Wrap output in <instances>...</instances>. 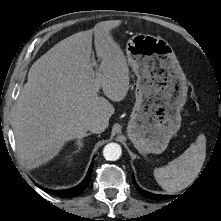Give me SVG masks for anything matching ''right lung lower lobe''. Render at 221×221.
<instances>
[{"instance_id": "obj_1", "label": "right lung lower lobe", "mask_w": 221, "mask_h": 221, "mask_svg": "<svg viewBox=\"0 0 221 221\" xmlns=\"http://www.w3.org/2000/svg\"><path fill=\"white\" fill-rule=\"evenodd\" d=\"M92 169H93V163H91L89 171L87 173V176L85 177V179L76 187L71 188V189H66V190H49V189H43L46 192H50L54 195H58V196H64V197H74L79 195L87 186L88 183L90 182V178H91V174H92Z\"/></svg>"}]
</instances>
